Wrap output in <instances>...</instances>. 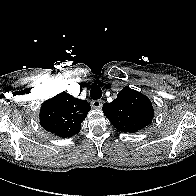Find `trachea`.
Instances as JSON below:
<instances>
[{"label":"trachea","mask_w":196,"mask_h":196,"mask_svg":"<svg viewBox=\"0 0 196 196\" xmlns=\"http://www.w3.org/2000/svg\"><path fill=\"white\" fill-rule=\"evenodd\" d=\"M90 97L93 100H98L102 97V90L99 86H94L92 87L91 91H90Z\"/></svg>","instance_id":"1"}]
</instances>
